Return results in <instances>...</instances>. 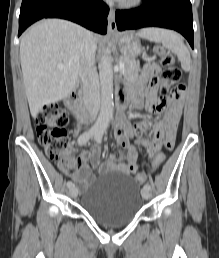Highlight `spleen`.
<instances>
[{"label": "spleen", "instance_id": "1", "mask_svg": "<svg viewBox=\"0 0 219 258\" xmlns=\"http://www.w3.org/2000/svg\"><path fill=\"white\" fill-rule=\"evenodd\" d=\"M136 35L151 42L162 43L164 47L178 56L182 68L185 71H189L191 61L190 53L178 33L167 29L150 27L141 29Z\"/></svg>", "mask_w": 219, "mask_h": 258}]
</instances>
